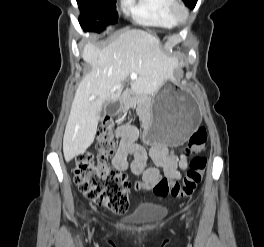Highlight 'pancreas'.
<instances>
[{
  "mask_svg": "<svg viewBox=\"0 0 264 247\" xmlns=\"http://www.w3.org/2000/svg\"><path fill=\"white\" fill-rule=\"evenodd\" d=\"M129 93L133 94V91H130ZM138 99L134 96H129V94H126L123 98L122 102V110H126L127 108L135 105L137 103Z\"/></svg>",
  "mask_w": 264,
  "mask_h": 247,
  "instance_id": "1",
  "label": "pancreas"
}]
</instances>
